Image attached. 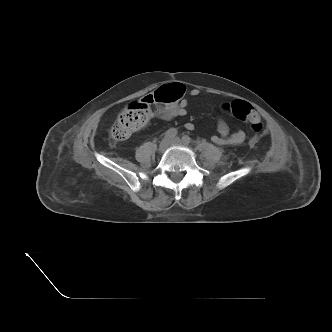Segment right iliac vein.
<instances>
[{
  "mask_svg": "<svg viewBox=\"0 0 332 332\" xmlns=\"http://www.w3.org/2000/svg\"><path fill=\"white\" fill-rule=\"evenodd\" d=\"M169 144H170V140L164 138L159 144L158 151L160 153L165 152L167 150Z\"/></svg>",
  "mask_w": 332,
  "mask_h": 332,
  "instance_id": "right-iliac-vein-1",
  "label": "right iliac vein"
}]
</instances>
